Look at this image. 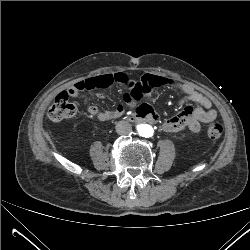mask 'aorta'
Here are the masks:
<instances>
[{"label": "aorta", "mask_w": 250, "mask_h": 250, "mask_svg": "<svg viewBox=\"0 0 250 250\" xmlns=\"http://www.w3.org/2000/svg\"><path fill=\"white\" fill-rule=\"evenodd\" d=\"M138 134L145 138H150L154 135V128L148 124H141L137 127Z\"/></svg>", "instance_id": "762f6f07"}]
</instances>
